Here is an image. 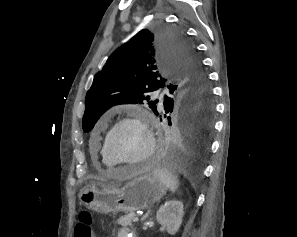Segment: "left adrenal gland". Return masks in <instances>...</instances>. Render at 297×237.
<instances>
[{"instance_id": "1", "label": "left adrenal gland", "mask_w": 297, "mask_h": 237, "mask_svg": "<svg viewBox=\"0 0 297 237\" xmlns=\"http://www.w3.org/2000/svg\"><path fill=\"white\" fill-rule=\"evenodd\" d=\"M149 213H150V210H148V212L142 217V219L141 220H144V219H146L147 217H148V215H149Z\"/></svg>"}]
</instances>
